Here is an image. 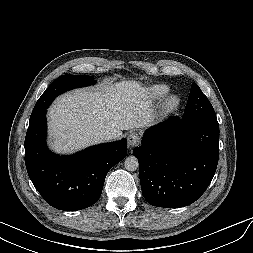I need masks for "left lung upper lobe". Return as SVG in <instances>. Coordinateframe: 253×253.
Segmentation results:
<instances>
[{
	"instance_id": "left-lung-upper-lobe-1",
	"label": "left lung upper lobe",
	"mask_w": 253,
	"mask_h": 253,
	"mask_svg": "<svg viewBox=\"0 0 253 253\" xmlns=\"http://www.w3.org/2000/svg\"><path fill=\"white\" fill-rule=\"evenodd\" d=\"M203 116H216V114L207 97L198 85L193 83L182 118L188 120Z\"/></svg>"
}]
</instances>
